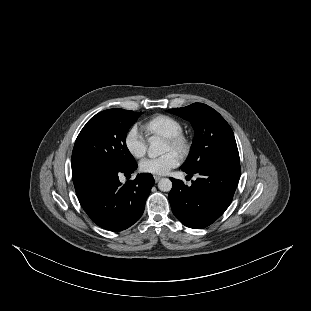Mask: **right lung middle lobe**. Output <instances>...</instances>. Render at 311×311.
Instances as JSON below:
<instances>
[{
	"instance_id": "obj_1",
	"label": "right lung middle lobe",
	"mask_w": 311,
	"mask_h": 311,
	"mask_svg": "<svg viewBox=\"0 0 311 311\" xmlns=\"http://www.w3.org/2000/svg\"><path fill=\"white\" fill-rule=\"evenodd\" d=\"M140 114L115 108L93 116L74 144L72 170L85 164H103L120 169L135 166L136 161L126 146V136Z\"/></svg>"
}]
</instances>
